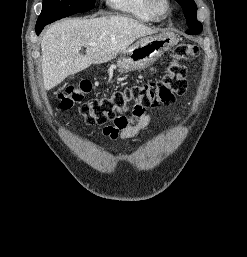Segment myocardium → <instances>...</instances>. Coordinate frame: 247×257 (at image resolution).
Masks as SVG:
<instances>
[{"mask_svg":"<svg viewBox=\"0 0 247 257\" xmlns=\"http://www.w3.org/2000/svg\"><path fill=\"white\" fill-rule=\"evenodd\" d=\"M149 10L157 20L163 19L171 11V2L170 0H149Z\"/></svg>","mask_w":247,"mask_h":257,"instance_id":"f54148a6","label":"myocardium"}]
</instances>
